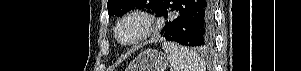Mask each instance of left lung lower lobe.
<instances>
[{"label":"left lung lower lobe","instance_id":"left-lung-lower-lobe-1","mask_svg":"<svg viewBox=\"0 0 301 71\" xmlns=\"http://www.w3.org/2000/svg\"><path fill=\"white\" fill-rule=\"evenodd\" d=\"M156 16L169 20L161 31L168 41L200 49L212 46L211 0H164Z\"/></svg>","mask_w":301,"mask_h":71}]
</instances>
